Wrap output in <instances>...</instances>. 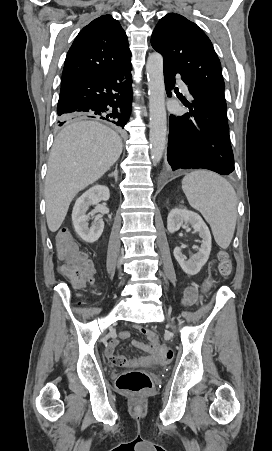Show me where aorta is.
I'll use <instances>...</instances> for the list:
<instances>
[{"instance_id":"1","label":"aorta","mask_w":272,"mask_h":451,"mask_svg":"<svg viewBox=\"0 0 272 451\" xmlns=\"http://www.w3.org/2000/svg\"><path fill=\"white\" fill-rule=\"evenodd\" d=\"M146 72L149 90L150 154L158 164L163 158L167 140V116L165 108V84L161 54H149Z\"/></svg>"}]
</instances>
